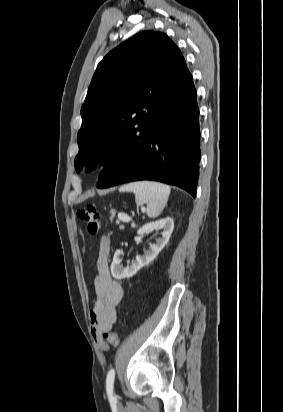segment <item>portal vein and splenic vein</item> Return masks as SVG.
I'll use <instances>...</instances> for the list:
<instances>
[{
	"mask_svg": "<svg viewBox=\"0 0 283 412\" xmlns=\"http://www.w3.org/2000/svg\"><path fill=\"white\" fill-rule=\"evenodd\" d=\"M118 218H119V220H121L123 222H126V223L131 221V218L128 215L123 214V213H119Z\"/></svg>",
	"mask_w": 283,
	"mask_h": 412,
	"instance_id": "1",
	"label": "portal vein and splenic vein"
}]
</instances>
